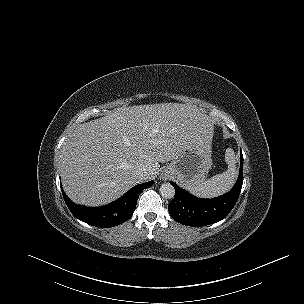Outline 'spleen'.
I'll return each mask as SVG.
<instances>
[{"label": "spleen", "instance_id": "spleen-1", "mask_svg": "<svg viewBox=\"0 0 304 304\" xmlns=\"http://www.w3.org/2000/svg\"><path fill=\"white\" fill-rule=\"evenodd\" d=\"M225 160L228 168L221 174H217L210 179L203 181L189 191L198 197L211 198L227 192L235 183L237 177L236 157L232 149H227Z\"/></svg>", "mask_w": 304, "mask_h": 304}]
</instances>
